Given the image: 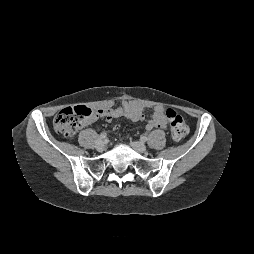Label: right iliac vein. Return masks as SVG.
<instances>
[{"label": "right iliac vein", "mask_w": 254, "mask_h": 254, "mask_svg": "<svg viewBox=\"0 0 254 254\" xmlns=\"http://www.w3.org/2000/svg\"><path fill=\"white\" fill-rule=\"evenodd\" d=\"M105 146V142L103 140H98L96 143V149L97 150H102Z\"/></svg>", "instance_id": "1"}]
</instances>
